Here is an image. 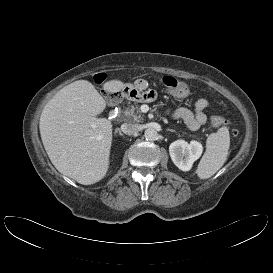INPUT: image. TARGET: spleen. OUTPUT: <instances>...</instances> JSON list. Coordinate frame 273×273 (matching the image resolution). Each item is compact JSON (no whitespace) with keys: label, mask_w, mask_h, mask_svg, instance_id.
<instances>
[{"label":"spleen","mask_w":273,"mask_h":273,"mask_svg":"<svg viewBox=\"0 0 273 273\" xmlns=\"http://www.w3.org/2000/svg\"><path fill=\"white\" fill-rule=\"evenodd\" d=\"M229 147L230 134L226 126L210 134L206 141V151L196 170L197 176L200 179L213 176L226 162Z\"/></svg>","instance_id":"spleen-1"}]
</instances>
